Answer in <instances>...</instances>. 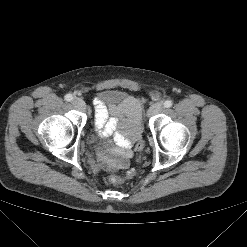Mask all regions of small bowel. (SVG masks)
Returning <instances> with one entry per match:
<instances>
[{
    "instance_id": "1",
    "label": "small bowel",
    "mask_w": 247,
    "mask_h": 247,
    "mask_svg": "<svg viewBox=\"0 0 247 247\" xmlns=\"http://www.w3.org/2000/svg\"><path fill=\"white\" fill-rule=\"evenodd\" d=\"M96 114L95 126L103 134L111 133L117 124H120L124 137L120 140L122 144L121 154L124 157L130 156L129 140H135L140 132V108L138 99L127 97L119 105L106 108L97 99L95 100ZM124 163L117 164L118 167Z\"/></svg>"
}]
</instances>
